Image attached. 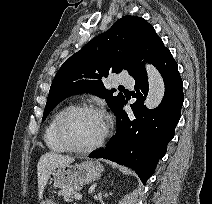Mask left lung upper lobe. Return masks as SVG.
<instances>
[{
    "label": "left lung upper lobe",
    "mask_w": 212,
    "mask_h": 204,
    "mask_svg": "<svg viewBox=\"0 0 212 204\" xmlns=\"http://www.w3.org/2000/svg\"><path fill=\"white\" fill-rule=\"evenodd\" d=\"M119 49L125 52L117 53ZM164 49L161 38L145 19L122 17L64 62L52 81L43 120L61 100L83 92L105 98L115 112L124 103L125 96L121 93L113 96L114 90L106 89L102 79L122 70L134 77L145 69L139 55L152 63Z\"/></svg>",
    "instance_id": "5c2ea615"
}]
</instances>
